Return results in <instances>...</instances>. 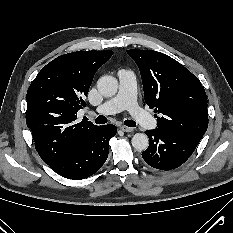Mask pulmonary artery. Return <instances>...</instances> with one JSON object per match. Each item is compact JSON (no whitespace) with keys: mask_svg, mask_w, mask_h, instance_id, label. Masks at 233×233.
<instances>
[{"mask_svg":"<svg viewBox=\"0 0 233 233\" xmlns=\"http://www.w3.org/2000/svg\"><path fill=\"white\" fill-rule=\"evenodd\" d=\"M119 89L117 94L99 105L95 112L102 115H111L122 110H127L133 118L144 128L153 129L156 127V120L137 103L136 76L130 70L118 72Z\"/></svg>","mask_w":233,"mask_h":233,"instance_id":"pulmonary-artery-1","label":"pulmonary artery"}]
</instances>
